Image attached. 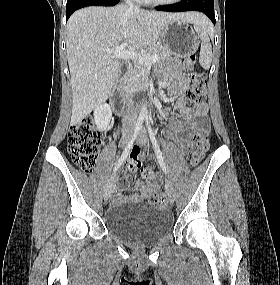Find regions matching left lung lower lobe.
I'll list each match as a JSON object with an SVG mask.
<instances>
[{
    "label": "left lung lower lobe",
    "mask_w": 280,
    "mask_h": 285,
    "mask_svg": "<svg viewBox=\"0 0 280 285\" xmlns=\"http://www.w3.org/2000/svg\"><path fill=\"white\" fill-rule=\"evenodd\" d=\"M159 11L182 12L199 11L206 14L215 24L214 0H181L177 4L165 5L156 8Z\"/></svg>",
    "instance_id": "0a47b994"
}]
</instances>
